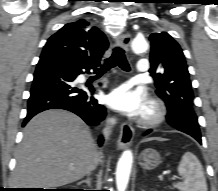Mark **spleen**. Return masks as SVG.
<instances>
[{
  "mask_svg": "<svg viewBox=\"0 0 218 191\" xmlns=\"http://www.w3.org/2000/svg\"><path fill=\"white\" fill-rule=\"evenodd\" d=\"M178 174L184 181L175 184L180 191H207V183L203 167L198 158L191 152H186L178 165Z\"/></svg>",
  "mask_w": 218,
  "mask_h": 191,
  "instance_id": "obj_1",
  "label": "spleen"
}]
</instances>
